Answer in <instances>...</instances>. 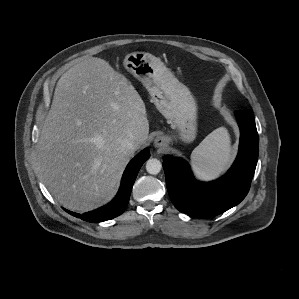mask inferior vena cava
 Instances as JSON below:
<instances>
[{
    "instance_id": "1",
    "label": "inferior vena cava",
    "mask_w": 299,
    "mask_h": 299,
    "mask_svg": "<svg viewBox=\"0 0 299 299\" xmlns=\"http://www.w3.org/2000/svg\"><path fill=\"white\" fill-rule=\"evenodd\" d=\"M137 140L135 138L124 139L121 142V146L127 150H134L136 147Z\"/></svg>"
}]
</instances>
